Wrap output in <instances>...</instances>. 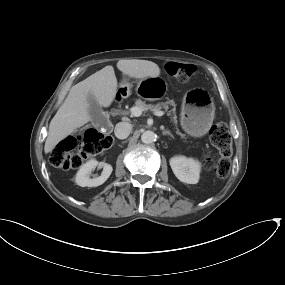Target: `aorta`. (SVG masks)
<instances>
[{
  "label": "aorta",
  "instance_id": "762f6f07",
  "mask_svg": "<svg viewBox=\"0 0 285 285\" xmlns=\"http://www.w3.org/2000/svg\"><path fill=\"white\" fill-rule=\"evenodd\" d=\"M156 140V134L153 131H144L141 135V141L145 144L153 143Z\"/></svg>",
  "mask_w": 285,
  "mask_h": 285
}]
</instances>
